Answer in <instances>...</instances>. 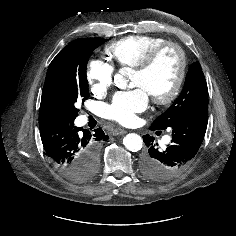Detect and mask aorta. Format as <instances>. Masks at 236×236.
Segmentation results:
<instances>
[{"label": "aorta", "mask_w": 236, "mask_h": 236, "mask_svg": "<svg viewBox=\"0 0 236 236\" xmlns=\"http://www.w3.org/2000/svg\"><path fill=\"white\" fill-rule=\"evenodd\" d=\"M132 73V69L128 67L121 68L119 73L114 76V83L119 89L128 87V77ZM123 144L129 151L137 152L143 147L142 138L135 133L127 134L123 139Z\"/></svg>", "instance_id": "1"}]
</instances>
